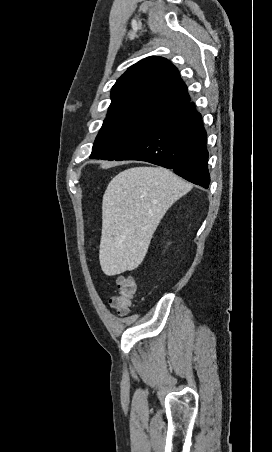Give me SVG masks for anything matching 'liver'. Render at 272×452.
<instances>
[{"label": "liver", "instance_id": "1", "mask_svg": "<svg viewBox=\"0 0 272 452\" xmlns=\"http://www.w3.org/2000/svg\"><path fill=\"white\" fill-rule=\"evenodd\" d=\"M191 188L162 167H133L117 174L102 201L99 261L104 274L136 269L165 213Z\"/></svg>", "mask_w": 272, "mask_h": 452}]
</instances>
